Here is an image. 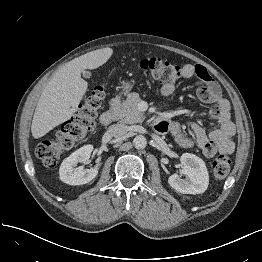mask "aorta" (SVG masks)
I'll use <instances>...</instances> for the list:
<instances>
[{
  "label": "aorta",
  "mask_w": 262,
  "mask_h": 262,
  "mask_svg": "<svg viewBox=\"0 0 262 262\" xmlns=\"http://www.w3.org/2000/svg\"><path fill=\"white\" fill-rule=\"evenodd\" d=\"M133 145L136 149H144L147 146V139L143 135L135 136Z\"/></svg>",
  "instance_id": "obj_1"
}]
</instances>
